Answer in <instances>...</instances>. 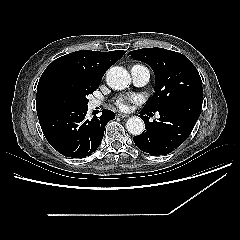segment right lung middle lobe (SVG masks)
Returning a JSON list of instances; mask_svg holds the SVG:
<instances>
[{
  "label": "right lung middle lobe",
  "instance_id": "obj_1",
  "mask_svg": "<svg viewBox=\"0 0 240 240\" xmlns=\"http://www.w3.org/2000/svg\"><path fill=\"white\" fill-rule=\"evenodd\" d=\"M100 83L78 82L67 77L56 79L49 87L48 95L58 107L85 108L87 96L99 87Z\"/></svg>",
  "mask_w": 240,
  "mask_h": 240
}]
</instances>
